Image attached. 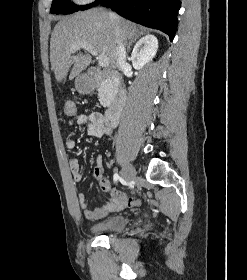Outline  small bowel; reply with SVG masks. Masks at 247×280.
Masks as SVG:
<instances>
[{
    "mask_svg": "<svg viewBox=\"0 0 247 280\" xmlns=\"http://www.w3.org/2000/svg\"><path fill=\"white\" fill-rule=\"evenodd\" d=\"M70 126L83 127L88 135L93 137H102L111 135V129L108 127L105 116L100 112H91L88 114H80L69 121ZM68 149H74L76 140L73 135L68 136L65 142ZM94 168V177L97 180L100 189L109 194L107 201L100 207L90 209L87 198L84 193L80 192L77 195L78 203L83 211V215L87 220H96L107 216L110 213L120 211L128 206L137 205L139 201L128 199L126 195L110 185V181L103 176L102 158L98 156ZM70 169L73 179L76 182H81L84 178L83 168L76 158L70 159Z\"/></svg>",
    "mask_w": 247,
    "mask_h": 280,
    "instance_id": "obj_1",
    "label": "small bowel"
}]
</instances>
